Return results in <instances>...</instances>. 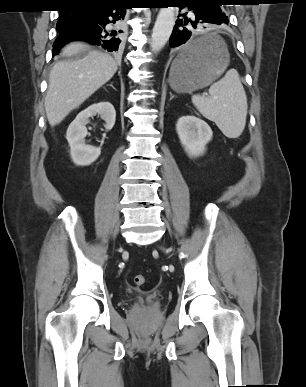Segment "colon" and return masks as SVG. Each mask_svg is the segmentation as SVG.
<instances>
[{
  "mask_svg": "<svg viewBox=\"0 0 306 387\" xmlns=\"http://www.w3.org/2000/svg\"><path fill=\"white\" fill-rule=\"evenodd\" d=\"M145 277L143 275H136L133 278V282L137 287H141L145 284Z\"/></svg>",
  "mask_w": 306,
  "mask_h": 387,
  "instance_id": "obj_1",
  "label": "colon"
}]
</instances>
